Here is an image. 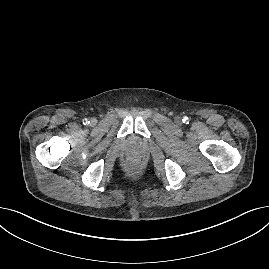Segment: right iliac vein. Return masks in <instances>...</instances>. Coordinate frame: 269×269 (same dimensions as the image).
Listing matches in <instances>:
<instances>
[{
    "mask_svg": "<svg viewBox=\"0 0 269 269\" xmlns=\"http://www.w3.org/2000/svg\"><path fill=\"white\" fill-rule=\"evenodd\" d=\"M96 123V120L95 119H91V124H95Z\"/></svg>",
    "mask_w": 269,
    "mask_h": 269,
    "instance_id": "63e3f726",
    "label": "right iliac vein"
}]
</instances>
